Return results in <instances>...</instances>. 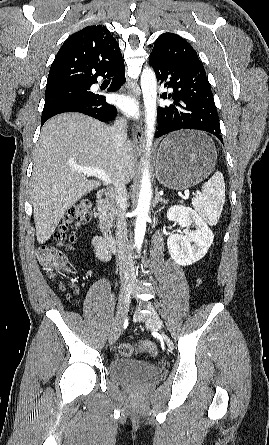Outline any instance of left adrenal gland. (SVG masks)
<instances>
[{"mask_svg": "<svg viewBox=\"0 0 269 445\" xmlns=\"http://www.w3.org/2000/svg\"><path fill=\"white\" fill-rule=\"evenodd\" d=\"M158 202H161L164 204L167 203V201L165 199H163L162 197H160L158 192L156 191L154 204H157Z\"/></svg>", "mask_w": 269, "mask_h": 445, "instance_id": "obj_1", "label": "left adrenal gland"}]
</instances>
